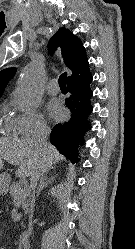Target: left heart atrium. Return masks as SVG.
<instances>
[{"instance_id": "left-heart-atrium-1", "label": "left heart atrium", "mask_w": 135, "mask_h": 249, "mask_svg": "<svg viewBox=\"0 0 135 249\" xmlns=\"http://www.w3.org/2000/svg\"><path fill=\"white\" fill-rule=\"evenodd\" d=\"M48 112L52 118L58 119L62 114V107L58 102L52 101L48 105Z\"/></svg>"}]
</instances>
